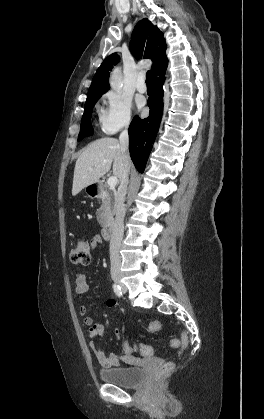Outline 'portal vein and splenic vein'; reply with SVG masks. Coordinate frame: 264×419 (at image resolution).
Segmentation results:
<instances>
[{
    "label": "portal vein and splenic vein",
    "instance_id": "portal-vein-and-splenic-vein-1",
    "mask_svg": "<svg viewBox=\"0 0 264 419\" xmlns=\"http://www.w3.org/2000/svg\"><path fill=\"white\" fill-rule=\"evenodd\" d=\"M117 182H118V179L115 176H112L107 180V184L110 188H114L117 185Z\"/></svg>",
    "mask_w": 264,
    "mask_h": 419
}]
</instances>
